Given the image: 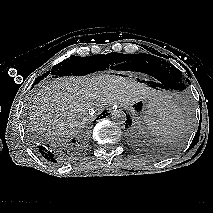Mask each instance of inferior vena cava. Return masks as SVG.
Wrapping results in <instances>:
<instances>
[{"mask_svg": "<svg viewBox=\"0 0 213 213\" xmlns=\"http://www.w3.org/2000/svg\"><path fill=\"white\" fill-rule=\"evenodd\" d=\"M88 112H89L90 116H93V114H94L95 111H94V109L91 108V109H89Z\"/></svg>", "mask_w": 213, "mask_h": 213, "instance_id": "1", "label": "inferior vena cava"}]
</instances>
